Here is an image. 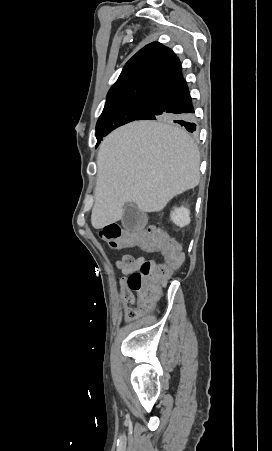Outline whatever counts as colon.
Listing matches in <instances>:
<instances>
[{
	"mask_svg": "<svg viewBox=\"0 0 272 451\" xmlns=\"http://www.w3.org/2000/svg\"><path fill=\"white\" fill-rule=\"evenodd\" d=\"M99 237L113 249H147L148 256H163L165 259L162 266L154 260L136 258L129 253L122 254V260H115L116 266L123 265L132 272L127 280V289H137L136 303H156L160 289L169 282L173 268L178 267V260L185 258L180 245L173 242L170 235H162L159 227L155 230H126L123 225L111 222L100 228ZM127 314L130 319L136 318L134 310Z\"/></svg>",
	"mask_w": 272,
	"mask_h": 451,
	"instance_id": "1",
	"label": "colon"
}]
</instances>
